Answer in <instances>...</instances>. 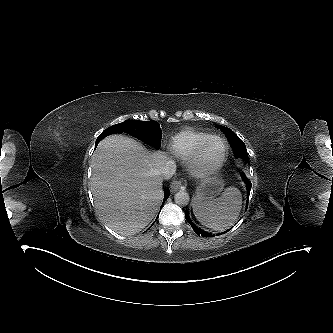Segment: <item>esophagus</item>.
<instances>
[{"label":"esophagus","instance_id":"obj_1","mask_svg":"<svg viewBox=\"0 0 333 333\" xmlns=\"http://www.w3.org/2000/svg\"><path fill=\"white\" fill-rule=\"evenodd\" d=\"M187 186L186 179L175 180L171 183L170 188L172 191H177L179 189L185 190Z\"/></svg>","mask_w":333,"mask_h":333}]
</instances>
